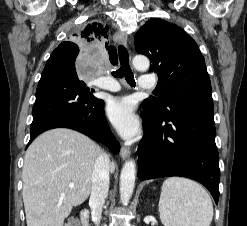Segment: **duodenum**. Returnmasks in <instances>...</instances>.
Returning a JSON list of instances; mask_svg holds the SVG:
<instances>
[{
    "label": "duodenum",
    "instance_id": "obj_1",
    "mask_svg": "<svg viewBox=\"0 0 247 226\" xmlns=\"http://www.w3.org/2000/svg\"><path fill=\"white\" fill-rule=\"evenodd\" d=\"M80 220L82 226H89V211L87 209L81 211Z\"/></svg>",
    "mask_w": 247,
    "mask_h": 226
}]
</instances>
